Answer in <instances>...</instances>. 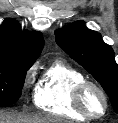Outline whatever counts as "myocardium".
I'll list each match as a JSON object with an SVG mask.
<instances>
[{
    "label": "myocardium",
    "instance_id": "myocardium-1",
    "mask_svg": "<svg viewBox=\"0 0 118 123\" xmlns=\"http://www.w3.org/2000/svg\"><path fill=\"white\" fill-rule=\"evenodd\" d=\"M89 90H95L98 92L103 100L104 107L103 111L100 114L92 113L86 105L85 99ZM73 104L75 109L87 119H100L104 117L109 110L108 97L103 88L98 84L88 80L81 82L75 87L73 93Z\"/></svg>",
    "mask_w": 118,
    "mask_h": 123
}]
</instances>
